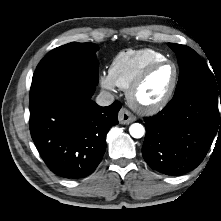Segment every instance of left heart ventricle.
Here are the masks:
<instances>
[{"mask_svg":"<svg viewBox=\"0 0 221 221\" xmlns=\"http://www.w3.org/2000/svg\"><path fill=\"white\" fill-rule=\"evenodd\" d=\"M174 70L171 65H162L154 69L137 92V99L142 104L158 101L169 88Z\"/></svg>","mask_w":221,"mask_h":221,"instance_id":"1","label":"left heart ventricle"}]
</instances>
